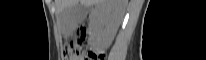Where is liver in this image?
<instances>
[{
	"mask_svg": "<svg viewBox=\"0 0 206 60\" xmlns=\"http://www.w3.org/2000/svg\"><path fill=\"white\" fill-rule=\"evenodd\" d=\"M110 1L111 0H55V5H56L57 12L60 13L66 7L75 4L77 2L86 7V6H92L97 4L111 5L112 2ZM113 3H114V11L112 16V31H111L112 38L116 34L122 22L127 0H114Z\"/></svg>",
	"mask_w": 206,
	"mask_h": 60,
	"instance_id": "obj_1",
	"label": "liver"
}]
</instances>
